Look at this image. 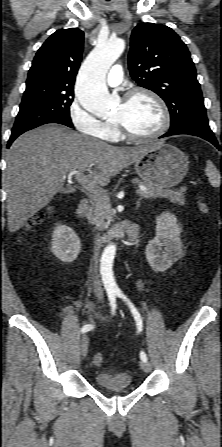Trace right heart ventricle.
I'll use <instances>...</instances> for the list:
<instances>
[{
    "mask_svg": "<svg viewBox=\"0 0 222 447\" xmlns=\"http://www.w3.org/2000/svg\"><path fill=\"white\" fill-rule=\"evenodd\" d=\"M98 136L109 141H117L121 138L117 127L110 121L103 123L102 132Z\"/></svg>",
    "mask_w": 222,
    "mask_h": 447,
    "instance_id": "right-heart-ventricle-1",
    "label": "right heart ventricle"
}]
</instances>
